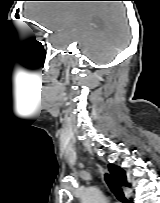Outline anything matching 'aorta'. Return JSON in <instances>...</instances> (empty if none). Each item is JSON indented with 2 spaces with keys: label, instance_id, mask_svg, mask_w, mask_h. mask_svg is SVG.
Returning a JSON list of instances; mask_svg holds the SVG:
<instances>
[{
  "label": "aorta",
  "instance_id": "762f6f07",
  "mask_svg": "<svg viewBox=\"0 0 160 203\" xmlns=\"http://www.w3.org/2000/svg\"><path fill=\"white\" fill-rule=\"evenodd\" d=\"M81 203H106V199L97 187L91 186L82 192Z\"/></svg>",
  "mask_w": 160,
  "mask_h": 203
}]
</instances>
